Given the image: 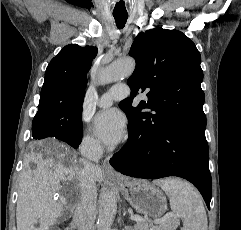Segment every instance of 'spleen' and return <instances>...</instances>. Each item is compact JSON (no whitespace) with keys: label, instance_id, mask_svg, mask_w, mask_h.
<instances>
[{"label":"spleen","instance_id":"3e777b00","mask_svg":"<svg viewBox=\"0 0 241 230\" xmlns=\"http://www.w3.org/2000/svg\"><path fill=\"white\" fill-rule=\"evenodd\" d=\"M154 183L165 191L172 211L183 219L182 230H207L208 222L202 197L191 184L176 178Z\"/></svg>","mask_w":241,"mask_h":230}]
</instances>
